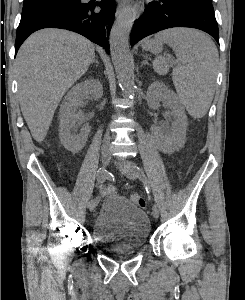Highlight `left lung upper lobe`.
<instances>
[{
  "mask_svg": "<svg viewBox=\"0 0 245 300\" xmlns=\"http://www.w3.org/2000/svg\"><path fill=\"white\" fill-rule=\"evenodd\" d=\"M206 1L212 2V0H206Z\"/></svg>",
  "mask_w": 245,
  "mask_h": 300,
  "instance_id": "1",
  "label": "left lung upper lobe"
}]
</instances>
